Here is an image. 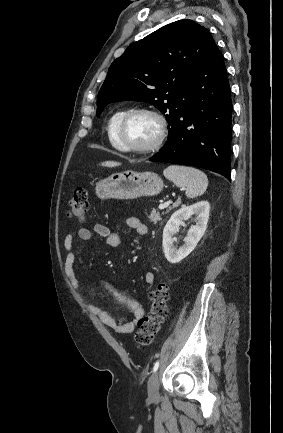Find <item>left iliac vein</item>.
<instances>
[{
    "label": "left iliac vein",
    "mask_w": 283,
    "mask_h": 433,
    "mask_svg": "<svg viewBox=\"0 0 283 433\" xmlns=\"http://www.w3.org/2000/svg\"><path fill=\"white\" fill-rule=\"evenodd\" d=\"M148 397L150 400H157L159 398V376L154 372L148 380Z\"/></svg>",
    "instance_id": "4c4485c4"
}]
</instances>
